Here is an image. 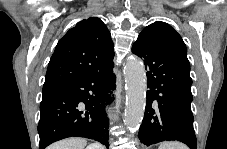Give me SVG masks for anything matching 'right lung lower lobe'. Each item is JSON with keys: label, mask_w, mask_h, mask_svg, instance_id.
Here are the masks:
<instances>
[{"label": "right lung lower lobe", "mask_w": 227, "mask_h": 149, "mask_svg": "<svg viewBox=\"0 0 227 149\" xmlns=\"http://www.w3.org/2000/svg\"><path fill=\"white\" fill-rule=\"evenodd\" d=\"M114 64L105 66L74 81L58 85L40 103L39 149L67 137H85L108 143L106 104L115 88ZM80 103H83L82 107Z\"/></svg>", "instance_id": "right-lung-lower-lobe-1"}]
</instances>
